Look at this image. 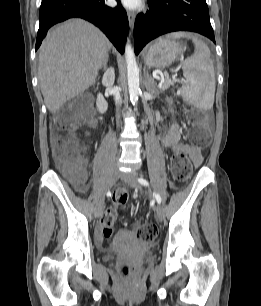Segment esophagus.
Returning <instances> with one entry per match:
<instances>
[{"instance_id":"esophagus-1","label":"esophagus","mask_w":261,"mask_h":306,"mask_svg":"<svg viewBox=\"0 0 261 306\" xmlns=\"http://www.w3.org/2000/svg\"><path fill=\"white\" fill-rule=\"evenodd\" d=\"M127 16H128L129 25H130L131 28H133L134 22H135V14L133 12L129 11L127 13Z\"/></svg>"}]
</instances>
